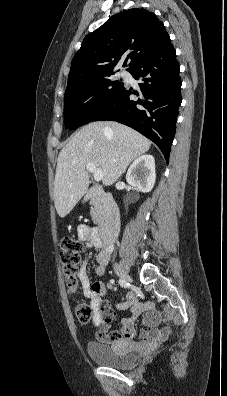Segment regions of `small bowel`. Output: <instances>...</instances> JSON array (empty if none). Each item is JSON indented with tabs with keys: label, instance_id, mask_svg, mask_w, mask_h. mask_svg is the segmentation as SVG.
<instances>
[{
	"label": "small bowel",
	"instance_id": "small-bowel-1",
	"mask_svg": "<svg viewBox=\"0 0 227 396\" xmlns=\"http://www.w3.org/2000/svg\"><path fill=\"white\" fill-rule=\"evenodd\" d=\"M94 228L87 225H81L78 228V237L85 241L88 247L103 248L96 240ZM110 248H103L96 256V262L93 269L97 275L104 273L110 259ZM78 279L82 286L85 297L89 298L91 305L95 309L93 324L97 327L96 338L99 341L107 343H116L124 341H136L143 348H154L162 341L166 340L171 333L170 327L158 328L161 320V313L154 309L152 302H139L134 294H127L122 302L117 304L120 310L129 309L130 315L121 320V326L118 330L110 331V323L115 320V311L108 302L102 300L106 294V287L102 282L91 283L86 265H83L78 273ZM144 314L143 323L147 330L139 334L135 327V320Z\"/></svg>",
	"mask_w": 227,
	"mask_h": 396
}]
</instances>
